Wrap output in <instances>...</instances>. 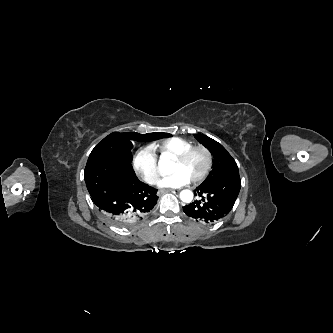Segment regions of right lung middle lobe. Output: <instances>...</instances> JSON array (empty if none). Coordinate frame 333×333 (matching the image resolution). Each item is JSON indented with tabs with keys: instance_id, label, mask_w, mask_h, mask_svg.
<instances>
[{
	"instance_id": "dd1d6c3e",
	"label": "right lung middle lobe",
	"mask_w": 333,
	"mask_h": 333,
	"mask_svg": "<svg viewBox=\"0 0 333 333\" xmlns=\"http://www.w3.org/2000/svg\"><path fill=\"white\" fill-rule=\"evenodd\" d=\"M167 134L168 133H160L152 135L148 133L141 135L134 132L111 133L95 146L88 158V161L97 159L109 160L127 165L132 168V140H156Z\"/></svg>"
}]
</instances>
